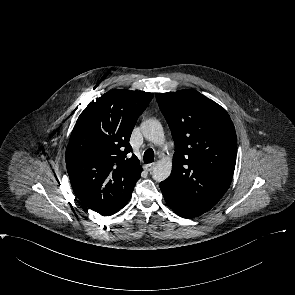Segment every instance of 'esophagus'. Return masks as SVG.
I'll use <instances>...</instances> for the list:
<instances>
[{
	"mask_svg": "<svg viewBox=\"0 0 295 295\" xmlns=\"http://www.w3.org/2000/svg\"><path fill=\"white\" fill-rule=\"evenodd\" d=\"M155 166H156V163H150V164L145 165V169L147 171H152L155 168Z\"/></svg>",
	"mask_w": 295,
	"mask_h": 295,
	"instance_id": "obj_1",
	"label": "esophagus"
}]
</instances>
